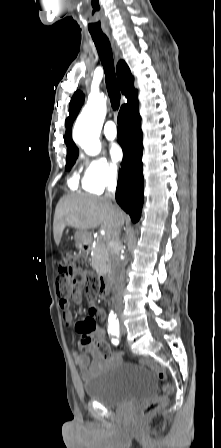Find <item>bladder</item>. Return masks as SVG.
<instances>
[{"label": "bladder", "instance_id": "31cf9c89", "mask_svg": "<svg viewBox=\"0 0 221 448\" xmlns=\"http://www.w3.org/2000/svg\"><path fill=\"white\" fill-rule=\"evenodd\" d=\"M83 386L89 399L106 407H119L153 397L155 378L146 368L116 362L85 380Z\"/></svg>", "mask_w": 221, "mask_h": 448}]
</instances>
